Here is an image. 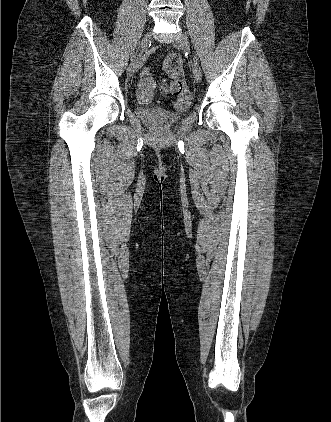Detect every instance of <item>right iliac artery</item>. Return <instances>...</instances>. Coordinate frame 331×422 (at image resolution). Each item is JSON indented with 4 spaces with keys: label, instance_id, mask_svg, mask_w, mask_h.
Instances as JSON below:
<instances>
[{
    "label": "right iliac artery",
    "instance_id": "1",
    "mask_svg": "<svg viewBox=\"0 0 331 422\" xmlns=\"http://www.w3.org/2000/svg\"><path fill=\"white\" fill-rule=\"evenodd\" d=\"M139 51H141V48H138V50H136V52H134V58H133V61H136V58H137V53H139Z\"/></svg>",
    "mask_w": 331,
    "mask_h": 422
}]
</instances>
